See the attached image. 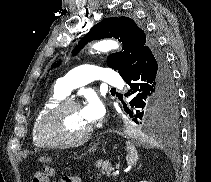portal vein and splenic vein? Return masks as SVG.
Here are the masks:
<instances>
[{
  "label": "portal vein and splenic vein",
  "mask_w": 211,
  "mask_h": 182,
  "mask_svg": "<svg viewBox=\"0 0 211 182\" xmlns=\"http://www.w3.org/2000/svg\"><path fill=\"white\" fill-rule=\"evenodd\" d=\"M113 175L116 176L117 175V172L113 173Z\"/></svg>",
  "instance_id": "18ae733b"
}]
</instances>
